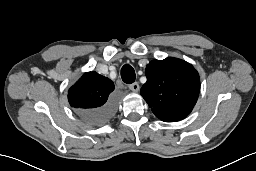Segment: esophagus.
<instances>
[{"label":"esophagus","instance_id":"obj_1","mask_svg":"<svg viewBox=\"0 0 256 171\" xmlns=\"http://www.w3.org/2000/svg\"><path fill=\"white\" fill-rule=\"evenodd\" d=\"M129 88L133 92H138L139 89H140V86H139V84L137 82H134V83L129 85Z\"/></svg>","mask_w":256,"mask_h":171}]
</instances>
